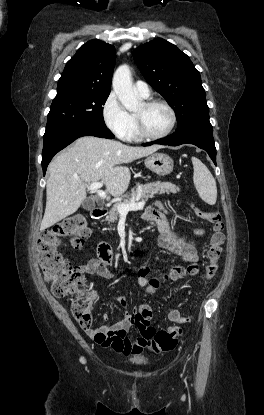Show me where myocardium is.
Segmentation results:
<instances>
[{"label": "myocardium", "instance_id": "myocardium-1", "mask_svg": "<svg viewBox=\"0 0 264 415\" xmlns=\"http://www.w3.org/2000/svg\"><path fill=\"white\" fill-rule=\"evenodd\" d=\"M143 104L147 108H150V107H153V106H156V105H161V106L165 107L171 115V122H170V125H169V127L167 128L166 131H164L161 134L152 135V134H149L146 131L142 117L135 113L134 118H135V122H136V131H137L138 136L141 139L160 140V139H163V138L167 137L168 135H170L171 132L174 130L176 124H177V114H176V111L174 110V108L168 102H166L162 99H150V100L145 101Z\"/></svg>", "mask_w": 264, "mask_h": 415}]
</instances>
